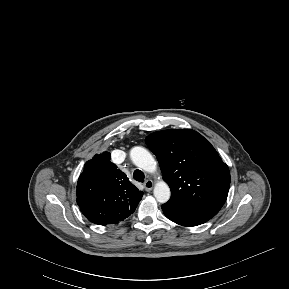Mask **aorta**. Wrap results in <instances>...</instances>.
I'll list each match as a JSON object with an SVG mask.
<instances>
[{
    "mask_svg": "<svg viewBox=\"0 0 289 289\" xmlns=\"http://www.w3.org/2000/svg\"><path fill=\"white\" fill-rule=\"evenodd\" d=\"M130 158L132 162L146 172L152 173L156 171V161L153 156L143 147L135 146L130 150ZM154 196L160 203H166L171 195L168 184L159 181L154 187Z\"/></svg>",
    "mask_w": 289,
    "mask_h": 289,
    "instance_id": "1",
    "label": "aorta"
}]
</instances>
